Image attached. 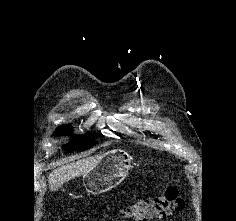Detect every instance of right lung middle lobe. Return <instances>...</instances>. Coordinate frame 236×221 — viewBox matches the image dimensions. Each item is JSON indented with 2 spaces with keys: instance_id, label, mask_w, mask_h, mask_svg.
I'll return each instance as SVG.
<instances>
[{
  "instance_id": "obj_1",
  "label": "right lung middle lobe",
  "mask_w": 236,
  "mask_h": 221,
  "mask_svg": "<svg viewBox=\"0 0 236 221\" xmlns=\"http://www.w3.org/2000/svg\"><path fill=\"white\" fill-rule=\"evenodd\" d=\"M69 131H70V127H68V126L59 127L56 129L55 135L56 136L66 135ZM95 143L96 142H94L90 139L84 138V137H75L72 141H70L64 147L66 148V150L68 152H70L72 150L87 149V148L93 146Z\"/></svg>"
}]
</instances>
